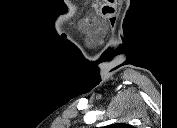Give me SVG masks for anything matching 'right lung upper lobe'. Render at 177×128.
<instances>
[{"label": "right lung upper lobe", "mask_w": 177, "mask_h": 128, "mask_svg": "<svg viewBox=\"0 0 177 128\" xmlns=\"http://www.w3.org/2000/svg\"><path fill=\"white\" fill-rule=\"evenodd\" d=\"M115 127H117V128H130L131 126L127 125V124L119 123V124H116Z\"/></svg>", "instance_id": "cb5924a9"}]
</instances>
